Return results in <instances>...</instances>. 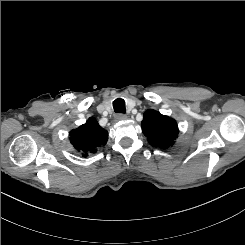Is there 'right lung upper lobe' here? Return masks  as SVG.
<instances>
[{
	"mask_svg": "<svg viewBox=\"0 0 245 245\" xmlns=\"http://www.w3.org/2000/svg\"><path fill=\"white\" fill-rule=\"evenodd\" d=\"M69 135L71 144L83 157L95 153L108 141V132L100 127L92 117L82 126L70 131Z\"/></svg>",
	"mask_w": 245,
	"mask_h": 245,
	"instance_id": "cb5924a9",
	"label": "right lung upper lobe"
}]
</instances>
